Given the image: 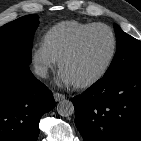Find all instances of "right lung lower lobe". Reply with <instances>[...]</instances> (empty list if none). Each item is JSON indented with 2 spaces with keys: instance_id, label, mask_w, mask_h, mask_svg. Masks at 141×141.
<instances>
[{
  "instance_id": "98d812e1",
  "label": "right lung lower lobe",
  "mask_w": 141,
  "mask_h": 141,
  "mask_svg": "<svg viewBox=\"0 0 141 141\" xmlns=\"http://www.w3.org/2000/svg\"><path fill=\"white\" fill-rule=\"evenodd\" d=\"M54 106L29 65L0 66V141H37L40 118Z\"/></svg>"
}]
</instances>
